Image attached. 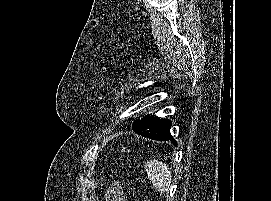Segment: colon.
<instances>
[{
    "mask_svg": "<svg viewBox=\"0 0 271 201\" xmlns=\"http://www.w3.org/2000/svg\"><path fill=\"white\" fill-rule=\"evenodd\" d=\"M123 149H124V151H125V152H128V149H127V147H123Z\"/></svg>",
    "mask_w": 271,
    "mask_h": 201,
    "instance_id": "5ec220e1",
    "label": "colon"
}]
</instances>
